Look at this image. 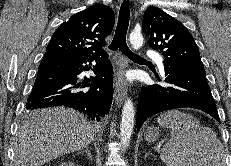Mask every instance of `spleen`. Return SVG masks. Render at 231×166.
<instances>
[{"label":"spleen","instance_id":"obj_1","mask_svg":"<svg viewBox=\"0 0 231 166\" xmlns=\"http://www.w3.org/2000/svg\"><path fill=\"white\" fill-rule=\"evenodd\" d=\"M157 122L171 129V139L160 154L166 166H226V155L217 134L201 126L193 115L169 110Z\"/></svg>","mask_w":231,"mask_h":166}]
</instances>
